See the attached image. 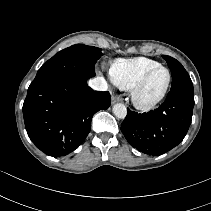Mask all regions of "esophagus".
Listing matches in <instances>:
<instances>
[{"instance_id":"esophagus-1","label":"esophagus","mask_w":211,"mask_h":211,"mask_svg":"<svg viewBox=\"0 0 211 211\" xmlns=\"http://www.w3.org/2000/svg\"><path fill=\"white\" fill-rule=\"evenodd\" d=\"M120 101H122V98L120 96H114L112 98V104H115V103L120 102Z\"/></svg>"}]
</instances>
